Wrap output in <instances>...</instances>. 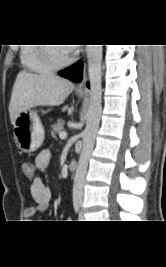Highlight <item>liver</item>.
Listing matches in <instances>:
<instances>
[{
  "label": "liver",
  "mask_w": 166,
  "mask_h": 267,
  "mask_svg": "<svg viewBox=\"0 0 166 267\" xmlns=\"http://www.w3.org/2000/svg\"><path fill=\"white\" fill-rule=\"evenodd\" d=\"M74 85L54 74L18 73L9 103L11 123L20 113L35 106H59L73 91ZM65 106L62 111L67 110Z\"/></svg>",
  "instance_id": "6515ba94"
}]
</instances>
